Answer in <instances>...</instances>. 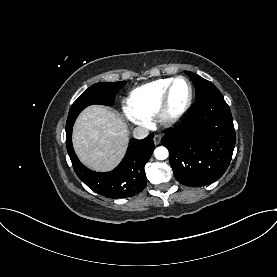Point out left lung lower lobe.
I'll return each instance as SVG.
<instances>
[{"mask_svg":"<svg viewBox=\"0 0 277 277\" xmlns=\"http://www.w3.org/2000/svg\"><path fill=\"white\" fill-rule=\"evenodd\" d=\"M161 143L181 184L200 187L218 180L235 147L233 119L222 94L197 102L179 126L165 132Z\"/></svg>","mask_w":277,"mask_h":277,"instance_id":"obj_1","label":"left lung lower lobe"}]
</instances>
